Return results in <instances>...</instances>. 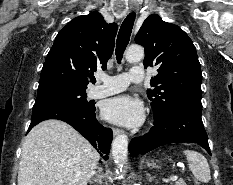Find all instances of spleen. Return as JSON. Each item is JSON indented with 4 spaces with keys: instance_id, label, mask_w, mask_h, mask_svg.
Instances as JSON below:
<instances>
[{
    "instance_id": "obj_1",
    "label": "spleen",
    "mask_w": 233,
    "mask_h": 185,
    "mask_svg": "<svg viewBox=\"0 0 233 185\" xmlns=\"http://www.w3.org/2000/svg\"><path fill=\"white\" fill-rule=\"evenodd\" d=\"M184 154L189 163V169L201 182L208 183L211 180L210 168L207 159L199 152L184 150Z\"/></svg>"
}]
</instances>
